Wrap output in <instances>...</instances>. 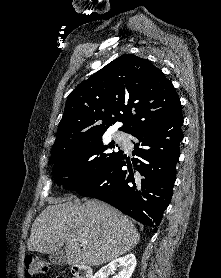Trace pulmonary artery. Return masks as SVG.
Returning a JSON list of instances; mask_svg holds the SVG:
<instances>
[{"instance_id":"pulmonary-artery-1","label":"pulmonary artery","mask_w":221,"mask_h":278,"mask_svg":"<svg viewBox=\"0 0 221 278\" xmlns=\"http://www.w3.org/2000/svg\"><path fill=\"white\" fill-rule=\"evenodd\" d=\"M121 139H122V137L119 136V137H118V140H121Z\"/></svg>"}]
</instances>
